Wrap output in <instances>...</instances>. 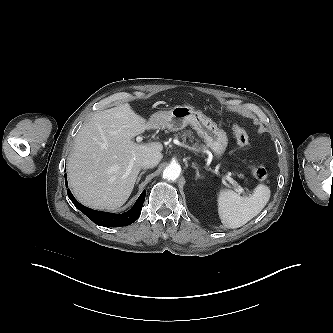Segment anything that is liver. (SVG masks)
I'll list each match as a JSON object with an SVG mask.
<instances>
[{
  "label": "liver",
  "mask_w": 333,
  "mask_h": 333,
  "mask_svg": "<svg viewBox=\"0 0 333 333\" xmlns=\"http://www.w3.org/2000/svg\"><path fill=\"white\" fill-rule=\"evenodd\" d=\"M153 128L128 104L93 114L76 135L67 164L69 185L78 201L94 209L121 207L134 188L142 158L163 150L158 142L133 141Z\"/></svg>",
  "instance_id": "liver-1"
}]
</instances>
